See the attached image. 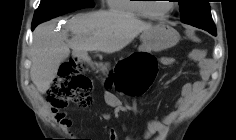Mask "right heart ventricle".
Segmentation results:
<instances>
[{
  "label": "right heart ventricle",
  "instance_id": "right-heart-ventricle-1",
  "mask_svg": "<svg viewBox=\"0 0 236 140\" xmlns=\"http://www.w3.org/2000/svg\"><path fill=\"white\" fill-rule=\"evenodd\" d=\"M137 1L139 0H108V5L114 12L145 16L141 4L136 3Z\"/></svg>",
  "mask_w": 236,
  "mask_h": 140
}]
</instances>
